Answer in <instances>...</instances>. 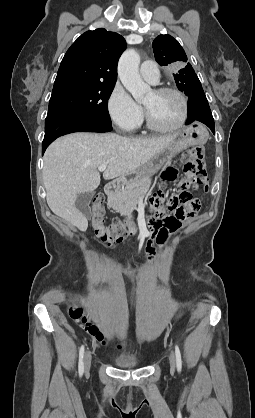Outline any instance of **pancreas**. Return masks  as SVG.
<instances>
[{"label": "pancreas", "mask_w": 255, "mask_h": 418, "mask_svg": "<svg viewBox=\"0 0 255 418\" xmlns=\"http://www.w3.org/2000/svg\"><path fill=\"white\" fill-rule=\"evenodd\" d=\"M150 185V176L135 177L109 197L108 206L120 213L121 216L131 218L139 198L148 193Z\"/></svg>", "instance_id": "cf45deb5"}]
</instances>
